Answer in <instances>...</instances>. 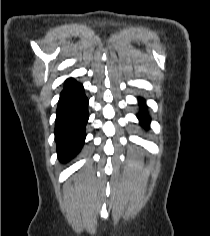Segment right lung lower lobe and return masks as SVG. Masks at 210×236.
<instances>
[{
    "label": "right lung lower lobe",
    "mask_w": 210,
    "mask_h": 236,
    "mask_svg": "<svg viewBox=\"0 0 210 236\" xmlns=\"http://www.w3.org/2000/svg\"><path fill=\"white\" fill-rule=\"evenodd\" d=\"M88 117L83 86L70 78L60 95L55 125L57 153L62 162L73 158L82 148Z\"/></svg>",
    "instance_id": "obj_1"
}]
</instances>
